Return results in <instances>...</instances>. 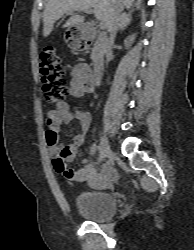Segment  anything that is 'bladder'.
<instances>
[{"label": "bladder", "mask_w": 194, "mask_h": 250, "mask_svg": "<svg viewBox=\"0 0 194 250\" xmlns=\"http://www.w3.org/2000/svg\"><path fill=\"white\" fill-rule=\"evenodd\" d=\"M75 207L81 216L95 222L111 218L117 209L111 194L93 190L80 193L76 197Z\"/></svg>", "instance_id": "31cf9c89"}]
</instances>
